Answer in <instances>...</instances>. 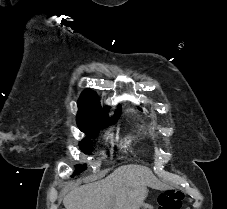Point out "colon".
<instances>
[{
	"mask_svg": "<svg viewBox=\"0 0 227 209\" xmlns=\"http://www.w3.org/2000/svg\"><path fill=\"white\" fill-rule=\"evenodd\" d=\"M183 193L178 190L167 189L158 198L157 209H181Z\"/></svg>",
	"mask_w": 227,
	"mask_h": 209,
	"instance_id": "obj_1",
	"label": "colon"
}]
</instances>
